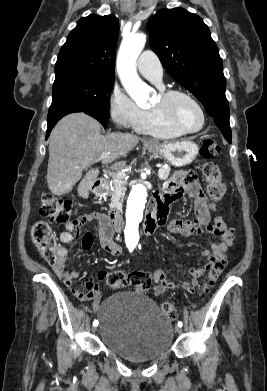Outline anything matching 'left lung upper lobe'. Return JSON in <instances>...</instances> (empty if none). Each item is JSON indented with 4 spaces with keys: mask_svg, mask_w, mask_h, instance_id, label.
Segmentation results:
<instances>
[{
    "mask_svg": "<svg viewBox=\"0 0 267 391\" xmlns=\"http://www.w3.org/2000/svg\"><path fill=\"white\" fill-rule=\"evenodd\" d=\"M147 28L150 47L165 70L210 116L229 115L222 59L203 20L182 8L164 9L150 18Z\"/></svg>",
    "mask_w": 267,
    "mask_h": 391,
    "instance_id": "5c2ea615",
    "label": "left lung upper lobe"
}]
</instances>
